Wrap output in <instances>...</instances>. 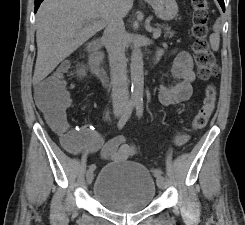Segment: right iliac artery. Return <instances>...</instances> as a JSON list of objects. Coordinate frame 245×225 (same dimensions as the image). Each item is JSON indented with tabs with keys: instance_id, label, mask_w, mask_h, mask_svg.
I'll return each instance as SVG.
<instances>
[{
	"instance_id": "obj_1",
	"label": "right iliac artery",
	"mask_w": 245,
	"mask_h": 225,
	"mask_svg": "<svg viewBox=\"0 0 245 225\" xmlns=\"http://www.w3.org/2000/svg\"><path fill=\"white\" fill-rule=\"evenodd\" d=\"M134 107H135V102L130 101L128 103L127 107H126V110H125L124 114L122 115V117L120 118V120L117 123V127H118L119 130L124 127V125L126 124L128 119L130 118ZM95 169H96V165L95 164H92V165L89 166V170H93L94 171Z\"/></svg>"
}]
</instances>
